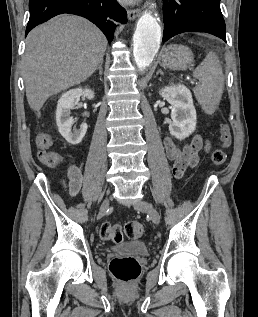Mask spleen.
<instances>
[{"label": "spleen", "instance_id": "3e777b00", "mask_svg": "<svg viewBox=\"0 0 258 317\" xmlns=\"http://www.w3.org/2000/svg\"><path fill=\"white\" fill-rule=\"evenodd\" d=\"M193 76L199 78L194 86V94L206 114L215 112L224 88V74L215 52H208L204 60L195 68Z\"/></svg>", "mask_w": 258, "mask_h": 317}]
</instances>
